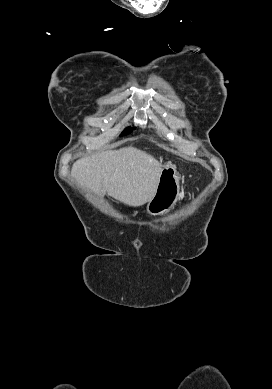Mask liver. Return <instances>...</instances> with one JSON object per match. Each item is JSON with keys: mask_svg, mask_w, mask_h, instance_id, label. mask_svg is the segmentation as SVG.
I'll return each instance as SVG.
<instances>
[{"mask_svg": "<svg viewBox=\"0 0 272 389\" xmlns=\"http://www.w3.org/2000/svg\"><path fill=\"white\" fill-rule=\"evenodd\" d=\"M162 164L134 147L104 151L77 160L71 175L82 187L129 206L149 202L155 194Z\"/></svg>", "mask_w": 272, "mask_h": 389, "instance_id": "obj_1", "label": "liver"}]
</instances>
